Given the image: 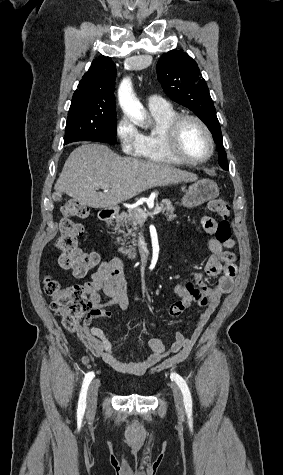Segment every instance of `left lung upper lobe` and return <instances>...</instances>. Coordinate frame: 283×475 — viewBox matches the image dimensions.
Listing matches in <instances>:
<instances>
[{
    "instance_id": "left-lung-upper-lobe-1",
    "label": "left lung upper lobe",
    "mask_w": 283,
    "mask_h": 475,
    "mask_svg": "<svg viewBox=\"0 0 283 475\" xmlns=\"http://www.w3.org/2000/svg\"><path fill=\"white\" fill-rule=\"evenodd\" d=\"M157 73L165 93L192 110L208 126L213 136L222 138L216 110L197 63L183 50H172L159 59Z\"/></svg>"
}]
</instances>
